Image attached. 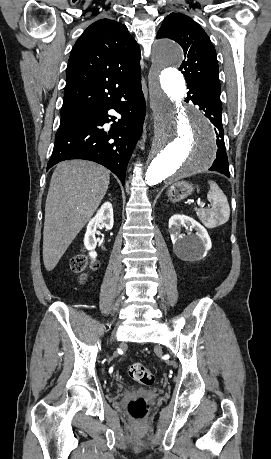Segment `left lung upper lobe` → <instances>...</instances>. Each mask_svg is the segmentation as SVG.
<instances>
[{"instance_id": "obj_1", "label": "left lung upper lobe", "mask_w": 271, "mask_h": 459, "mask_svg": "<svg viewBox=\"0 0 271 459\" xmlns=\"http://www.w3.org/2000/svg\"><path fill=\"white\" fill-rule=\"evenodd\" d=\"M157 38H170L184 51L179 70L185 76L188 88L209 86L220 91L216 51L205 31L190 17L171 13L163 21Z\"/></svg>"}]
</instances>
